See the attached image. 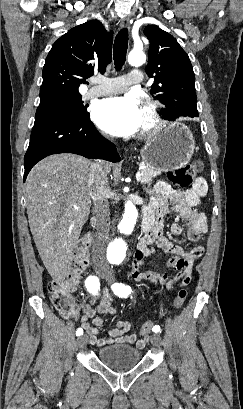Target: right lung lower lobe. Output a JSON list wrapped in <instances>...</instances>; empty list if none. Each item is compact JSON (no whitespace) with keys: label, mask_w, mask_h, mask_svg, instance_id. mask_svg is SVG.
I'll return each instance as SVG.
<instances>
[{"label":"right lung lower lobe","mask_w":243,"mask_h":409,"mask_svg":"<svg viewBox=\"0 0 243 409\" xmlns=\"http://www.w3.org/2000/svg\"><path fill=\"white\" fill-rule=\"evenodd\" d=\"M74 153L86 158L120 161L116 147L101 136L89 116L76 119L51 113H39L24 157V181L31 168L46 156Z\"/></svg>","instance_id":"obj_1"}]
</instances>
